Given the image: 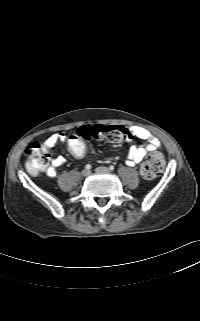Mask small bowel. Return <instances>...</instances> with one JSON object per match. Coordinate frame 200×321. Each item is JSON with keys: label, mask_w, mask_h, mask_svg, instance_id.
<instances>
[{"label": "small bowel", "mask_w": 200, "mask_h": 321, "mask_svg": "<svg viewBox=\"0 0 200 321\" xmlns=\"http://www.w3.org/2000/svg\"><path fill=\"white\" fill-rule=\"evenodd\" d=\"M131 134L141 140L146 142L145 145L137 146L131 145L127 154V164L136 165L140 163L144 157L150 153L154 152L160 146V140L155 137L151 132L140 126H133L130 129ZM69 137L63 132L54 133L50 135L43 143L46 150L52 149L58 142H64L65 139ZM65 163V158L63 156H57L51 160L49 166H46L43 171L48 177H55L57 174V168Z\"/></svg>", "instance_id": "c3829d8e"}]
</instances>
